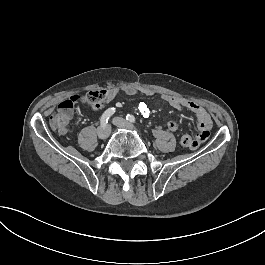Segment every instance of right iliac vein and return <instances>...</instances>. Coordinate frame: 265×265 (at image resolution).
I'll return each mask as SVG.
<instances>
[{
  "mask_svg": "<svg viewBox=\"0 0 265 265\" xmlns=\"http://www.w3.org/2000/svg\"><path fill=\"white\" fill-rule=\"evenodd\" d=\"M97 134H98V137L100 139H107L110 132H109V125L107 124L105 127H99L98 130H97Z\"/></svg>",
  "mask_w": 265,
  "mask_h": 265,
  "instance_id": "obj_1",
  "label": "right iliac vein"
}]
</instances>
